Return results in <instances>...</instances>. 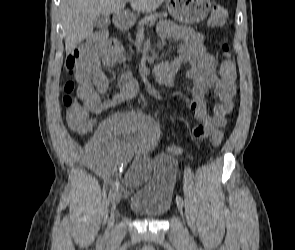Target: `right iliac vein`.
I'll return each instance as SVG.
<instances>
[{"label": "right iliac vein", "instance_id": "1", "mask_svg": "<svg viewBox=\"0 0 295 250\" xmlns=\"http://www.w3.org/2000/svg\"><path fill=\"white\" fill-rule=\"evenodd\" d=\"M121 199V193H117L114 195L112 202H111V212H110V217L108 220V227H107V235H109L112 231L114 221H115V212H116V206L119 203Z\"/></svg>", "mask_w": 295, "mask_h": 250}]
</instances>
